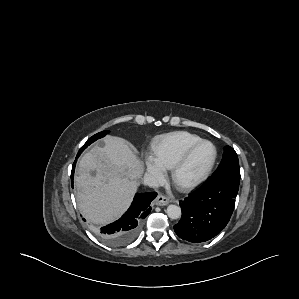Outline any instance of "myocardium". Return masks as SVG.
Returning <instances> with one entry per match:
<instances>
[{
	"instance_id": "1",
	"label": "myocardium",
	"mask_w": 299,
	"mask_h": 299,
	"mask_svg": "<svg viewBox=\"0 0 299 299\" xmlns=\"http://www.w3.org/2000/svg\"><path fill=\"white\" fill-rule=\"evenodd\" d=\"M204 144L211 145L213 148V151H214L213 158H212L209 166L202 174H200L196 178L191 179V180H183L181 178V174H182L183 170L186 168V166L190 162L194 153ZM217 157H218L217 148L214 145V143H212L211 141L201 140L200 142L193 145L191 148L188 149V151L183 155V157L179 160V162L172 169L171 178H172V182H173L174 186L181 191H189V190L196 188L200 184H202L211 175V173L214 169V166L216 164Z\"/></svg>"
}]
</instances>
